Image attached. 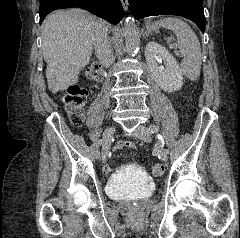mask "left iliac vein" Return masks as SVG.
Instances as JSON below:
<instances>
[{
	"label": "left iliac vein",
	"mask_w": 240,
	"mask_h": 238,
	"mask_svg": "<svg viewBox=\"0 0 240 238\" xmlns=\"http://www.w3.org/2000/svg\"><path fill=\"white\" fill-rule=\"evenodd\" d=\"M134 136H136L137 138H139L140 140L144 141V142H150L151 141V133L149 128H147L144 125H139L133 132ZM160 157L163 161H167L168 159V151L167 153H162V151H160Z\"/></svg>",
	"instance_id": "obj_1"
}]
</instances>
